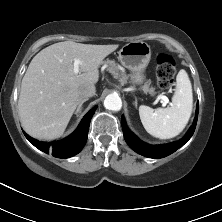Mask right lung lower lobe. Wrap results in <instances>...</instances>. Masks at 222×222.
<instances>
[{"label": "right lung lower lobe", "instance_id": "obj_1", "mask_svg": "<svg viewBox=\"0 0 222 222\" xmlns=\"http://www.w3.org/2000/svg\"><path fill=\"white\" fill-rule=\"evenodd\" d=\"M96 107L91 109L82 119L78 128L67 138L50 143L40 142L28 136L25 132L26 138L38 149L45 153H52L54 157L69 158L81 151L87 141L89 124L94 114Z\"/></svg>", "mask_w": 222, "mask_h": 222}]
</instances>
